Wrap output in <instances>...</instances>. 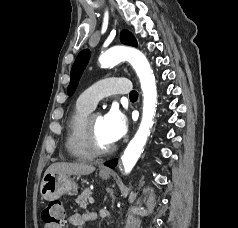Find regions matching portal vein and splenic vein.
Wrapping results in <instances>:
<instances>
[{"mask_svg": "<svg viewBox=\"0 0 238 228\" xmlns=\"http://www.w3.org/2000/svg\"><path fill=\"white\" fill-rule=\"evenodd\" d=\"M89 202H90L91 204H94V199H93L92 197H90V198H89Z\"/></svg>", "mask_w": 238, "mask_h": 228, "instance_id": "portal-vein-and-splenic-vein-1", "label": "portal vein and splenic vein"}]
</instances>
